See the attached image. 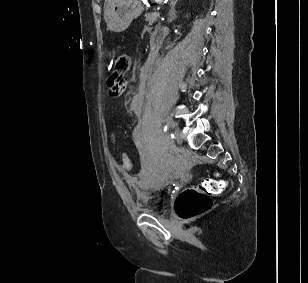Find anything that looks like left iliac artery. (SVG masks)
Instances as JSON below:
<instances>
[{
    "label": "left iliac artery",
    "mask_w": 308,
    "mask_h": 283,
    "mask_svg": "<svg viewBox=\"0 0 308 283\" xmlns=\"http://www.w3.org/2000/svg\"><path fill=\"white\" fill-rule=\"evenodd\" d=\"M169 128H170L169 124H166L165 127H164V132L167 133L166 135H167V136H170V139L173 140L175 137H174V134H173V133L170 134V133L168 132V131H169ZM167 138H168V137H167Z\"/></svg>",
    "instance_id": "1"
}]
</instances>
